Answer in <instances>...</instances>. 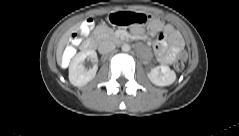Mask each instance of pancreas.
I'll return each mask as SVG.
<instances>
[{"instance_id":"1","label":"pancreas","mask_w":239,"mask_h":136,"mask_svg":"<svg viewBox=\"0 0 239 136\" xmlns=\"http://www.w3.org/2000/svg\"><path fill=\"white\" fill-rule=\"evenodd\" d=\"M97 32L100 34L101 39L114 37V32L105 26L99 27L97 29Z\"/></svg>"}]
</instances>
